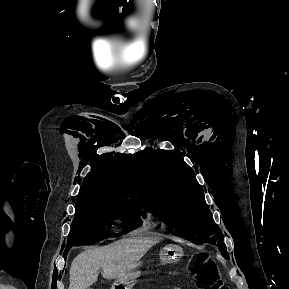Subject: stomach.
I'll list each match as a JSON object with an SVG mask.
<instances>
[{
    "instance_id": "1",
    "label": "stomach",
    "mask_w": 289,
    "mask_h": 289,
    "mask_svg": "<svg viewBox=\"0 0 289 289\" xmlns=\"http://www.w3.org/2000/svg\"><path fill=\"white\" fill-rule=\"evenodd\" d=\"M182 256V248L174 244H169L160 251V260L163 263H176ZM139 275L140 272L136 269L131 270L125 276L120 277L115 281L113 289H132L135 280Z\"/></svg>"
}]
</instances>
